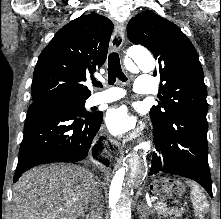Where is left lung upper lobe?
Wrapping results in <instances>:
<instances>
[{
	"label": "left lung upper lobe",
	"instance_id": "left-lung-upper-lobe-1",
	"mask_svg": "<svg viewBox=\"0 0 221 219\" xmlns=\"http://www.w3.org/2000/svg\"><path fill=\"white\" fill-rule=\"evenodd\" d=\"M134 44L148 48L157 59L153 75L160 76L161 101L153 106V123L166 124L177 114H187L207 122V89L198 54L181 29L153 11H143L127 26Z\"/></svg>",
	"mask_w": 221,
	"mask_h": 219
}]
</instances>
